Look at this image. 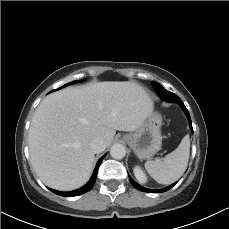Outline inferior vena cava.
<instances>
[{
    "instance_id": "obj_1",
    "label": "inferior vena cava",
    "mask_w": 229,
    "mask_h": 229,
    "mask_svg": "<svg viewBox=\"0 0 229 229\" xmlns=\"http://www.w3.org/2000/svg\"><path fill=\"white\" fill-rule=\"evenodd\" d=\"M90 147L95 154L101 153L106 149L105 141L103 138L100 137L95 138L91 142Z\"/></svg>"
}]
</instances>
